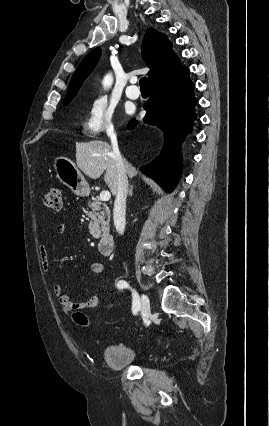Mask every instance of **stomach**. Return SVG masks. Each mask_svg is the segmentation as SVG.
I'll return each mask as SVG.
<instances>
[{
	"mask_svg": "<svg viewBox=\"0 0 269 426\" xmlns=\"http://www.w3.org/2000/svg\"><path fill=\"white\" fill-rule=\"evenodd\" d=\"M53 168L56 178L69 187L78 196H86L90 192V187L78 167L65 156H58L54 159Z\"/></svg>",
	"mask_w": 269,
	"mask_h": 426,
	"instance_id": "stomach-1",
	"label": "stomach"
}]
</instances>
